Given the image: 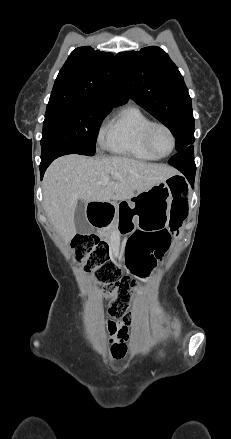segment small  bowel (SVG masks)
<instances>
[{
	"label": "small bowel",
	"mask_w": 231,
	"mask_h": 439,
	"mask_svg": "<svg viewBox=\"0 0 231 439\" xmlns=\"http://www.w3.org/2000/svg\"><path fill=\"white\" fill-rule=\"evenodd\" d=\"M136 234L144 236L140 244V254L136 255L131 242L127 243V254L131 266L141 265L148 273H151L157 262L168 251L172 237L176 234L169 226H163L153 230L139 229ZM135 234V235H136ZM133 235L130 239H132ZM130 241V240H129ZM106 326L112 341L111 354L114 358H123L127 352L126 340L128 329L125 324L114 320H107Z\"/></svg>",
	"instance_id": "small-bowel-1"
}]
</instances>
